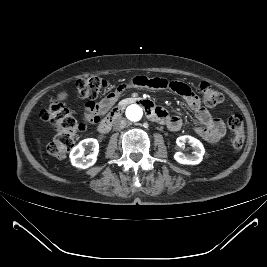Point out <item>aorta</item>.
I'll list each match as a JSON object with an SVG mask.
<instances>
[{
  "mask_svg": "<svg viewBox=\"0 0 267 267\" xmlns=\"http://www.w3.org/2000/svg\"><path fill=\"white\" fill-rule=\"evenodd\" d=\"M143 111L139 105L133 104L126 109V117L133 122L139 121L142 118Z\"/></svg>",
  "mask_w": 267,
  "mask_h": 267,
  "instance_id": "obj_1",
  "label": "aorta"
}]
</instances>
